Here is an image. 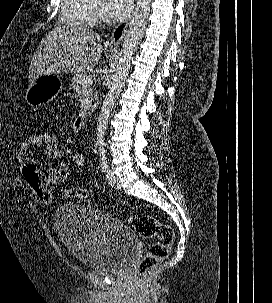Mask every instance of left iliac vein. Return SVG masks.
I'll use <instances>...</instances> for the list:
<instances>
[{
    "label": "left iliac vein",
    "instance_id": "obj_1",
    "mask_svg": "<svg viewBox=\"0 0 272 303\" xmlns=\"http://www.w3.org/2000/svg\"><path fill=\"white\" fill-rule=\"evenodd\" d=\"M105 176H106V180L110 186H112L116 189H120V185H121L120 180L110 168H108L105 171Z\"/></svg>",
    "mask_w": 272,
    "mask_h": 303
}]
</instances>
